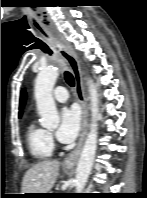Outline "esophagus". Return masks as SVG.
Returning <instances> with one entry per match:
<instances>
[{
    "mask_svg": "<svg viewBox=\"0 0 147 198\" xmlns=\"http://www.w3.org/2000/svg\"><path fill=\"white\" fill-rule=\"evenodd\" d=\"M62 57L69 64L76 82V95L82 107V133L77 147L64 159L63 165L66 167H73L80 155L88 129V112H87V99L83 84L82 72L80 61L75 52L67 45H59Z\"/></svg>",
    "mask_w": 147,
    "mask_h": 198,
    "instance_id": "1",
    "label": "esophagus"
}]
</instances>
